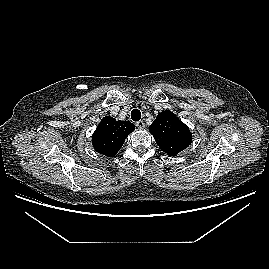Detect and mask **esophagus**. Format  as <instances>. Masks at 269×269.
Returning <instances> with one entry per match:
<instances>
[{
  "label": "esophagus",
  "mask_w": 269,
  "mask_h": 269,
  "mask_svg": "<svg viewBox=\"0 0 269 269\" xmlns=\"http://www.w3.org/2000/svg\"><path fill=\"white\" fill-rule=\"evenodd\" d=\"M136 126L139 129H143L145 127V123L143 121L136 122Z\"/></svg>",
  "instance_id": "obj_1"
}]
</instances>
